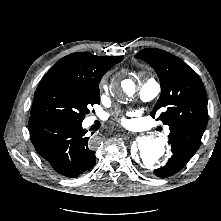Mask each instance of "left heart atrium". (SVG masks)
<instances>
[{
	"mask_svg": "<svg viewBox=\"0 0 221 221\" xmlns=\"http://www.w3.org/2000/svg\"><path fill=\"white\" fill-rule=\"evenodd\" d=\"M121 122H122L123 124L127 123L126 119L123 118V117L121 118Z\"/></svg>",
	"mask_w": 221,
	"mask_h": 221,
	"instance_id": "obj_1",
	"label": "left heart atrium"
}]
</instances>
